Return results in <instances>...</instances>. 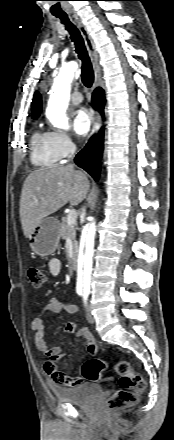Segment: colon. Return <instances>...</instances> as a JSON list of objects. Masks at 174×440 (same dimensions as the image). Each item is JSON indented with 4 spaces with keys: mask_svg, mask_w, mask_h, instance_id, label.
I'll list each match as a JSON object with an SVG mask.
<instances>
[{
    "mask_svg": "<svg viewBox=\"0 0 174 440\" xmlns=\"http://www.w3.org/2000/svg\"><path fill=\"white\" fill-rule=\"evenodd\" d=\"M28 277L34 287H40L44 283L43 271L38 267H30ZM114 367L119 375L120 389L108 399L107 406L111 411L135 405L146 386L143 377L129 362L119 360ZM106 368V362L90 358L82 365V377L86 381L97 382L102 378Z\"/></svg>",
    "mask_w": 174,
    "mask_h": 440,
    "instance_id": "obj_1",
    "label": "colon"
}]
</instances>
